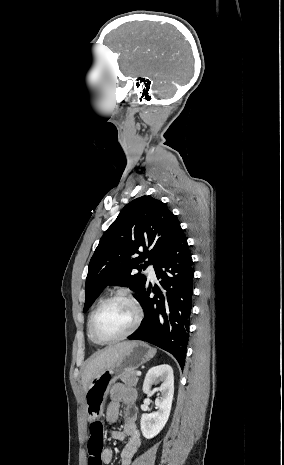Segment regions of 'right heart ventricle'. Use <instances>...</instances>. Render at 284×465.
<instances>
[{
  "label": "right heart ventricle",
  "instance_id": "right-heart-ventricle-1",
  "mask_svg": "<svg viewBox=\"0 0 284 465\" xmlns=\"http://www.w3.org/2000/svg\"><path fill=\"white\" fill-rule=\"evenodd\" d=\"M104 300V298H101L100 300L97 301V303L94 305V307L92 308V310L90 311L89 313V316H88V320H87V326H86V329H87V334H88V337L90 339V341L92 343L95 344V342L93 341L91 335H90V320H91V317L93 315V312L95 311V309L97 308V306Z\"/></svg>",
  "mask_w": 284,
  "mask_h": 465
}]
</instances>
